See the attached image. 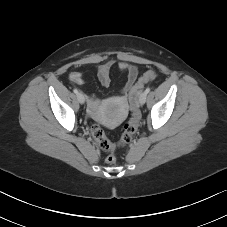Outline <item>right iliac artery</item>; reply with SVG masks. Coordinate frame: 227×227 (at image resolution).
Instances as JSON below:
<instances>
[{"mask_svg": "<svg viewBox=\"0 0 227 227\" xmlns=\"http://www.w3.org/2000/svg\"><path fill=\"white\" fill-rule=\"evenodd\" d=\"M73 92H74L75 94H78V90H77V89H74Z\"/></svg>", "mask_w": 227, "mask_h": 227, "instance_id": "82829eb1", "label": "right iliac artery"}]
</instances>
